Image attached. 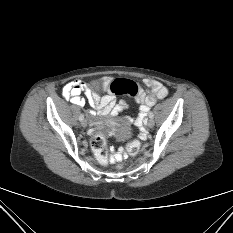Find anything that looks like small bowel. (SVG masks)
<instances>
[{"instance_id": "c3829d8e", "label": "small bowel", "mask_w": 233, "mask_h": 233, "mask_svg": "<svg viewBox=\"0 0 233 233\" xmlns=\"http://www.w3.org/2000/svg\"><path fill=\"white\" fill-rule=\"evenodd\" d=\"M143 82L147 90L139 88L136 95V100L140 104L139 114L134 120L136 125H141L149 109L168 94L167 88L157 80L146 78ZM103 86L105 88V85ZM82 92L85 93L87 101L91 106V110L87 112L89 116L98 114L102 117L113 119L127 107L124 101L116 102L115 96L111 92L100 96L87 83L79 79L67 83L62 89L64 98L78 106H84L86 103V100L81 97ZM124 153L122 149H114L112 161L121 160Z\"/></svg>"}]
</instances>
